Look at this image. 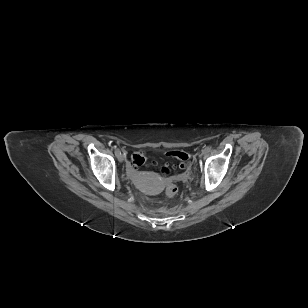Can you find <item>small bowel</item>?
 I'll list each match as a JSON object with an SVG mask.
<instances>
[{
    "mask_svg": "<svg viewBox=\"0 0 308 308\" xmlns=\"http://www.w3.org/2000/svg\"><path fill=\"white\" fill-rule=\"evenodd\" d=\"M133 162V161H132ZM134 164V163H133ZM135 165V164H134ZM129 168H130V170L131 171H133V168H132V166L131 165H129Z\"/></svg>",
    "mask_w": 308,
    "mask_h": 308,
    "instance_id": "small-bowel-1",
    "label": "small bowel"
}]
</instances>
